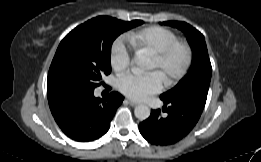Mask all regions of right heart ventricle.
Returning a JSON list of instances; mask_svg holds the SVG:
<instances>
[{
    "mask_svg": "<svg viewBox=\"0 0 261 162\" xmlns=\"http://www.w3.org/2000/svg\"><path fill=\"white\" fill-rule=\"evenodd\" d=\"M126 39L136 51H160L168 45L179 40L178 36L170 29L161 26H147L130 31Z\"/></svg>",
    "mask_w": 261,
    "mask_h": 162,
    "instance_id": "e07e8e85",
    "label": "right heart ventricle"
}]
</instances>
